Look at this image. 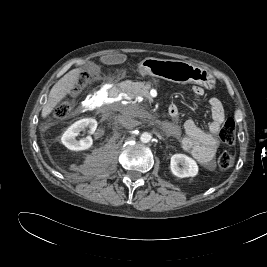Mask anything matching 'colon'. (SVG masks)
<instances>
[{
  "label": "colon",
  "mask_w": 267,
  "mask_h": 267,
  "mask_svg": "<svg viewBox=\"0 0 267 267\" xmlns=\"http://www.w3.org/2000/svg\"><path fill=\"white\" fill-rule=\"evenodd\" d=\"M88 79V75H82L79 82L80 86L86 85L88 83ZM71 109V103L69 101H64L60 103L54 110V117L56 119H63L71 113ZM219 136L225 144H234L236 137V124L233 119L229 118L223 123L219 132ZM233 163L234 156L228 151L222 152L218 157V167L221 170H228L233 166Z\"/></svg>",
  "instance_id": "obj_1"
}]
</instances>
